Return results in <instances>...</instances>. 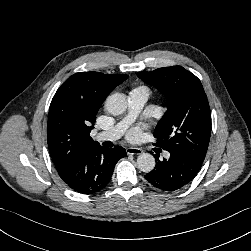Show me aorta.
<instances>
[{"label":"aorta","mask_w":251,"mask_h":251,"mask_svg":"<svg viewBox=\"0 0 251 251\" xmlns=\"http://www.w3.org/2000/svg\"><path fill=\"white\" fill-rule=\"evenodd\" d=\"M106 110L112 115H121L127 109V100L123 94H112L105 102ZM137 167L140 171L149 173L155 167V158L150 153H142L137 158Z\"/></svg>","instance_id":"obj_1"}]
</instances>
